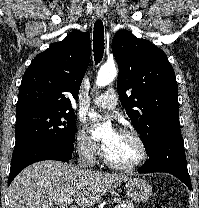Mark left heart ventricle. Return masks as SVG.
Segmentation results:
<instances>
[{"mask_svg": "<svg viewBox=\"0 0 199 208\" xmlns=\"http://www.w3.org/2000/svg\"><path fill=\"white\" fill-rule=\"evenodd\" d=\"M103 143L108 157L120 164H132L140 157V147L137 142L128 135L119 132H108Z\"/></svg>", "mask_w": 199, "mask_h": 208, "instance_id": "b2bd125f", "label": "left heart ventricle"}]
</instances>
